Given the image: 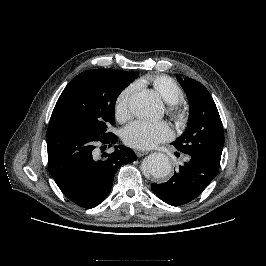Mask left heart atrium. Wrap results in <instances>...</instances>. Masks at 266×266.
Instances as JSON below:
<instances>
[{"label": "left heart atrium", "instance_id": "left-heart-atrium-1", "mask_svg": "<svg viewBox=\"0 0 266 266\" xmlns=\"http://www.w3.org/2000/svg\"><path fill=\"white\" fill-rule=\"evenodd\" d=\"M125 144L137 149H149L172 137L166 122L136 120L126 126L122 133Z\"/></svg>", "mask_w": 266, "mask_h": 266}]
</instances>
